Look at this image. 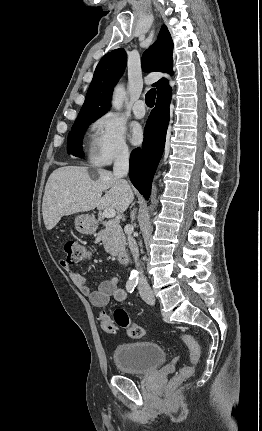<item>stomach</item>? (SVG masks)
Returning a JSON list of instances; mask_svg holds the SVG:
<instances>
[{
	"instance_id": "stomach-1",
	"label": "stomach",
	"mask_w": 262,
	"mask_h": 431,
	"mask_svg": "<svg viewBox=\"0 0 262 431\" xmlns=\"http://www.w3.org/2000/svg\"><path fill=\"white\" fill-rule=\"evenodd\" d=\"M75 228L82 234H93L96 231V221L93 216L82 214L75 218Z\"/></svg>"
}]
</instances>
